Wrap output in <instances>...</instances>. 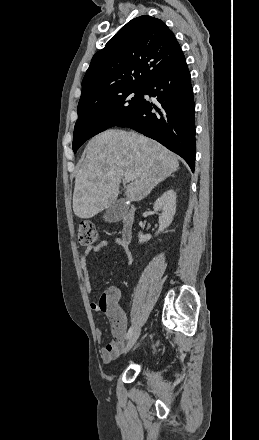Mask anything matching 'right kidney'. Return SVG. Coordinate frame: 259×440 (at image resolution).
Segmentation results:
<instances>
[{"instance_id": "ca27d5eb", "label": "right kidney", "mask_w": 259, "mask_h": 440, "mask_svg": "<svg viewBox=\"0 0 259 440\" xmlns=\"http://www.w3.org/2000/svg\"><path fill=\"white\" fill-rule=\"evenodd\" d=\"M176 192L174 190L166 191L161 197H159L154 203V210L162 209V214L159 216V229L156 235L163 232L173 221L176 212ZM139 243L149 241L152 236L150 234L143 235L141 232L138 234Z\"/></svg>"}]
</instances>
